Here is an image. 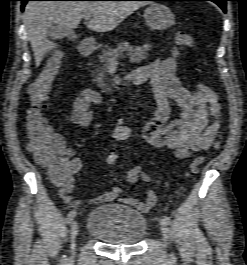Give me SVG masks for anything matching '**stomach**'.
<instances>
[{"instance_id":"obj_1","label":"stomach","mask_w":247,"mask_h":265,"mask_svg":"<svg viewBox=\"0 0 247 265\" xmlns=\"http://www.w3.org/2000/svg\"><path fill=\"white\" fill-rule=\"evenodd\" d=\"M146 25L151 30H164L175 23V15L165 5L152 3L144 12Z\"/></svg>"}]
</instances>
